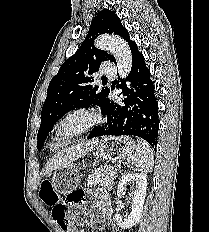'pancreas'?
<instances>
[{
	"label": "pancreas",
	"mask_w": 209,
	"mask_h": 232,
	"mask_svg": "<svg viewBox=\"0 0 209 232\" xmlns=\"http://www.w3.org/2000/svg\"><path fill=\"white\" fill-rule=\"evenodd\" d=\"M113 171V174H110V172ZM116 170L114 167H101L96 169L91 173V175L88 177L87 182L88 186H96L100 185L104 188L111 190L113 187V181L115 179Z\"/></svg>",
	"instance_id": "1"
}]
</instances>
